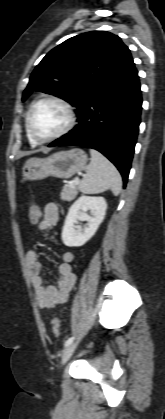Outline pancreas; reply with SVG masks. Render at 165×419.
<instances>
[{
	"label": "pancreas",
	"mask_w": 165,
	"mask_h": 419,
	"mask_svg": "<svg viewBox=\"0 0 165 419\" xmlns=\"http://www.w3.org/2000/svg\"><path fill=\"white\" fill-rule=\"evenodd\" d=\"M78 184H66L64 185L62 192L60 194L61 199L64 201H72L78 194Z\"/></svg>",
	"instance_id": "1"
}]
</instances>
